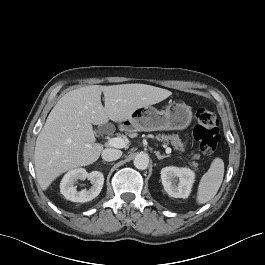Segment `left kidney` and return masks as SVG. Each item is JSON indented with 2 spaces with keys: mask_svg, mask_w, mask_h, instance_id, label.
I'll return each mask as SVG.
<instances>
[{
  "mask_svg": "<svg viewBox=\"0 0 265 265\" xmlns=\"http://www.w3.org/2000/svg\"><path fill=\"white\" fill-rule=\"evenodd\" d=\"M161 180L168 195L175 198H187L191 192L195 174L189 168L168 166L162 168Z\"/></svg>",
  "mask_w": 265,
  "mask_h": 265,
  "instance_id": "5707ae66",
  "label": "left kidney"
}]
</instances>
